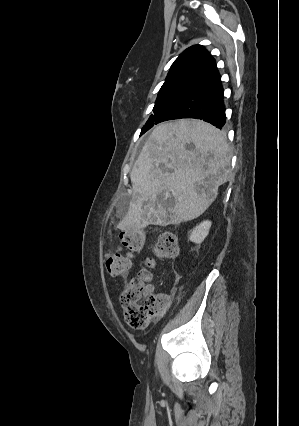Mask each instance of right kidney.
Masks as SVG:
<instances>
[{
  "instance_id": "obj_1",
  "label": "right kidney",
  "mask_w": 299,
  "mask_h": 426,
  "mask_svg": "<svg viewBox=\"0 0 299 426\" xmlns=\"http://www.w3.org/2000/svg\"><path fill=\"white\" fill-rule=\"evenodd\" d=\"M211 224V221H203L202 223H200L192 230L189 236V240L196 244H201L207 237Z\"/></svg>"
}]
</instances>
